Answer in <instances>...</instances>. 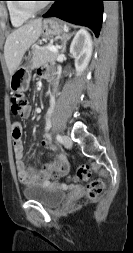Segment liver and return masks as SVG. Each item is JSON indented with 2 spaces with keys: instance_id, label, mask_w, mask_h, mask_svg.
<instances>
[{
  "instance_id": "6515ba94",
  "label": "liver",
  "mask_w": 133,
  "mask_h": 253,
  "mask_svg": "<svg viewBox=\"0 0 133 253\" xmlns=\"http://www.w3.org/2000/svg\"><path fill=\"white\" fill-rule=\"evenodd\" d=\"M42 33V19H36L14 30L6 39L5 61L10 75L19 67L25 52Z\"/></svg>"
}]
</instances>
